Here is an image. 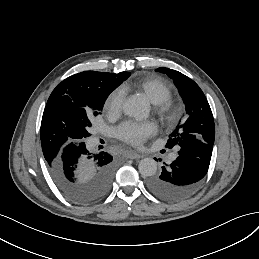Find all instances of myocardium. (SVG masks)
Returning <instances> with one entry per match:
<instances>
[{"mask_svg": "<svg viewBox=\"0 0 259 259\" xmlns=\"http://www.w3.org/2000/svg\"><path fill=\"white\" fill-rule=\"evenodd\" d=\"M153 112L167 128L174 127L181 115L180 106L170 99L159 104H154Z\"/></svg>", "mask_w": 259, "mask_h": 259, "instance_id": "obj_1", "label": "myocardium"}]
</instances>
